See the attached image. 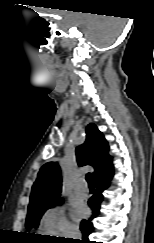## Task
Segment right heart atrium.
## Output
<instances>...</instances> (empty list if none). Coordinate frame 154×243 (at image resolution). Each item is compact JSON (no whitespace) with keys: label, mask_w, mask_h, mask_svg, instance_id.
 I'll use <instances>...</instances> for the list:
<instances>
[{"label":"right heart atrium","mask_w":154,"mask_h":243,"mask_svg":"<svg viewBox=\"0 0 154 243\" xmlns=\"http://www.w3.org/2000/svg\"><path fill=\"white\" fill-rule=\"evenodd\" d=\"M40 226L44 233L50 235L67 236L76 233V227L68 221L60 206L48 209L41 218Z\"/></svg>","instance_id":"obj_1"}]
</instances>
